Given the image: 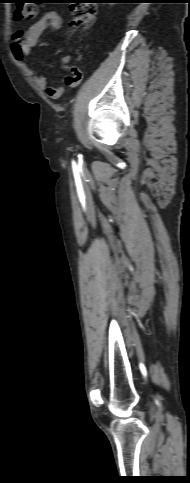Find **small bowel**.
I'll use <instances>...</instances> for the list:
<instances>
[{
	"label": "small bowel",
	"mask_w": 190,
	"mask_h": 483,
	"mask_svg": "<svg viewBox=\"0 0 190 483\" xmlns=\"http://www.w3.org/2000/svg\"><path fill=\"white\" fill-rule=\"evenodd\" d=\"M61 27L62 18L60 15L54 11H47L36 22L30 25L27 30L15 31L10 40V50L13 58L20 64H25L26 58L29 57L32 49L36 47L43 32L47 29L57 31ZM67 62L68 57H65L63 63L69 70L70 76L74 79L71 85H76L82 78V72L77 67H68ZM32 77L36 86L45 89L51 98H58L60 96L61 88L59 86L49 85L44 75L32 72Z\"/></svg>",
	"instance_id": "1"
}]
</instances>
